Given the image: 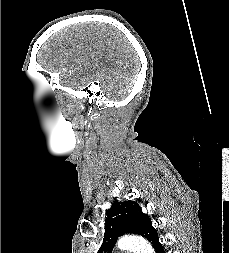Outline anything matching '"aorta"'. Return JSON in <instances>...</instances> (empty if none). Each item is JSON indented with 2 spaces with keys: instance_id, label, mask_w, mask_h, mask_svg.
Listing matches in <instances>:
<instances>
[{
  "instance_id": "aorta-1",
  "label": "aorta",
  "mask_w": 229,
  "mask_h": 253,
  "mask_svg": "<svg viewBox=\"0 0 229 253\" xmlns=\"http://www.w3.org/2000/svg\"><path fill=\"white\" fill-rule=\"evenodd\" d=\"M118 248L121 250H130L134 253H155L151 244L142 237L128 236L118 241Z\"/></svg>"
}]
</instances>
